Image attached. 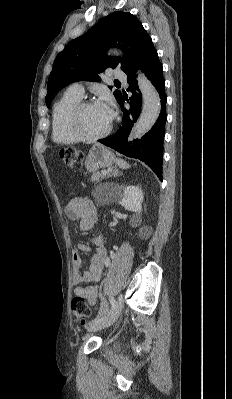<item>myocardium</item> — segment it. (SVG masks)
<instances>
[{"label":"myocardium","instance_id":"myocardium-1","mask_svg":"<svg viewBox=\"0 0 232 399\" xmlns=\"http://www.w3.org/2000/svg\"><path fill=\"white\" fill-rule=\"evenodd\" d=\"M94 104H95L94 100L80 101L78 104L74 106L69 115L68 118L69 131L78 141L87 142V143H94L97 141H101L106 137H108L113 130V124L110 123L108 129L104 133L97 136H88L81 132L79 128V117L85 108L90 107Z\"/></svg>","mask_w":232,"mask_h":399}]
</instances>
